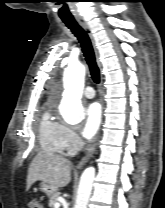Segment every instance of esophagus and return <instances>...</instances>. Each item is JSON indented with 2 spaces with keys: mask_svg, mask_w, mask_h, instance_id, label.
<instances>
[{
  "mask_svg": "<svg viewBox=\"0 0 165 208\" xmlns=\"http://www.w3.org/2000/svg\"><path fill=\"white\" fill-rule=\"evenodd\" d=\"M77 22L86 31V33L88 34V36H89V38H90V40L92 42V45L94 47V50H95L97 63H98L99 66H101L100 61H99L98 52H97V49L95 47L94 37H93V34H92L88 24L84 20H82V19H77ZM98 138H99V135H97L94 138L93 142L88 147V149L86 151V154L82 157V159L77 164V168H81L92 157V155L94 154V151L96 149V146H97Z\"/></svg>",
  "mask_w": 165,
  "mask_h": 208,
  "instance_id": "esophagus-1",
  "label": "esophagus"
}]
</instances>
